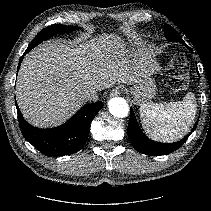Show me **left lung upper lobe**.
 I'll use <instances>...</instances> for the list:
<instances>
[{"label":"left lung upper lobe","instance_id":"obj_1","mask_svg":"<svg viewBox=\"0 0 211 211\" xmlns=\"http://www.w3.org/2000/svg\"><path fill=\"white\" fill-rule=\"evenodd\" d=\"M165 35H166V38L171 41H179L182 39L178 35V33L168 24L165 25Z\"/></svg>","mask_w":211,"mask_h":211}]
</instances>
